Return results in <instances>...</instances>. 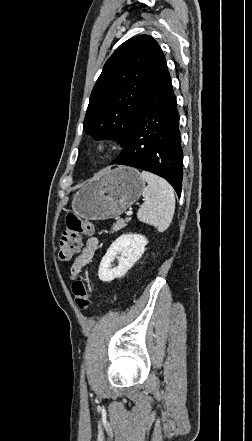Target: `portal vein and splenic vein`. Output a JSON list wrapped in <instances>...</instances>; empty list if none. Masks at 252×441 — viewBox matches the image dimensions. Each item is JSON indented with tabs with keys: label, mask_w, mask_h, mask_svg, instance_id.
Instances as JSON below:
<instances>
[{
	"label": "portal vein and splenic vein",
	"mask_w": 252,
	"mask_h": 441,
	"mask_svg": "<svg viewBox=\"0 0 252 441\" xmlns=\"http://www.w3.org/2000/svg\"><path fill=\"white\" fill-rule=\"evenodd\" d=\"M126 215H127L128 217H130V216L132 215V211H131V210L128 211V212L126 213Z\"/></svg>",
	"instance_id": "18ae733b"
}]
</instances>
